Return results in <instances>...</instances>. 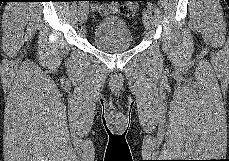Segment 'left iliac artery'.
I'll return each instance as SVG.
<instances>
[{"mask_svg": "<svg viewBox=\"0 0 229 161\" xmlns=\"http://www.w3.org/2000/svg\"><path fill=\"white\" fill-rule=\"evenodd\" d=\"M147 8L153 10V5L150 1L147 2Z\"/></svg>", "mask_w": 229, "mask_h": 161, "instance_id": "1", "label": "left iliac artery"}]
</instances>
